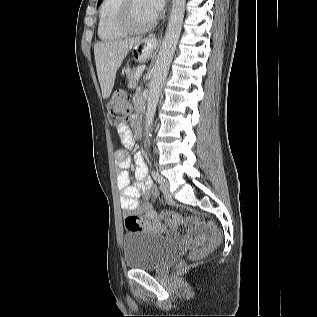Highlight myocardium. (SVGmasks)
Masks as SVG:
<instances>
[{
    "label": "myocardium",
    "mask_w": 317,
    "mask_h": 317,
    "mask_svg": "<svg viewBox=\"0 0 317 317\" xmlns=\"http://www.w3.org/2000/svg\"><path fill=\"white\" fill-rule=\"evenodd\" d=\"M131 3L132 0L120 1L116 14L117 26L127 34H142L153 29L157 22L156 18L144 26H136L133 24L131 18Z\"/></svg>",
    "instance_id": "obj_1"
}]
</instances>
